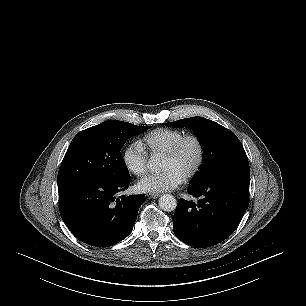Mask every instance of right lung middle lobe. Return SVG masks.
Instances as JSON below:
<instances>
[{"label":"right lung middle lobe","mask_w":306,"mask_h":306,"mask_svg":"<svg viewBox=\"0 0 306 306\" xmlns=\"http://www.w3.org/2000/svg\"><path fill=\"white\" fill-rule=\"evenodd\" d=\"M149 128L108 120L77 133L63 158L58 189L86 178L121 180L129 177L121 148L129 137Z\"/></svg>","instance_id":"obj_1"}]
</instances>
